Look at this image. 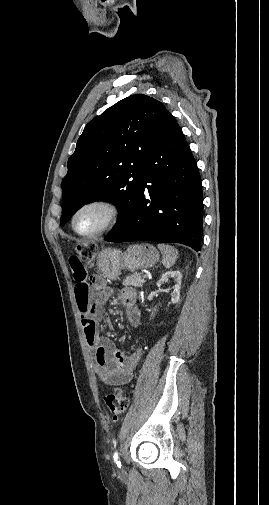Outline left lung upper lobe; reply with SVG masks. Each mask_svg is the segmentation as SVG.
Listing matches in <instances>:
<instances>
[{
  "label": "left lung upper lobe",
  "instance_id": "1",
  "mask_svg": "<svg viewBox=\"0 0 269 505\" xmlns=\"http://www.w3.org/2000/svg\"><path fill=\"white\" fill-rule=\"evenodd\" d=\"M167 112L158 100L135 94L85 126L62 181L61 226L96 200L117 205L120 217L112 230L130 219L150 141Z\"/></svg>",
  "mask_w": 269,
  "mask_h": 505
}]
</instances>
